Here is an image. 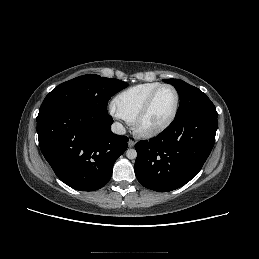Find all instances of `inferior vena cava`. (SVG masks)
I'll use <instances>...</instances> for the list:
<instances>
[{
	"label": "inferior vena cava",
	"instance_id": "inferior-vena-cava-1",
	"mask_svg": "<svg viewBox=\"0 0 259 259\" xmlns=\"http://www.w3.org/2000/svg\"><path fill=\"white\" fill-rule=\"evenodd\" d=\"M111 130L113 133L118 135H124L126 133L124 126L119 122L113 123L111 126Z\"/></svg>",
	"mask_w": 259,
	"mask_h": 259
}]
</instances>
